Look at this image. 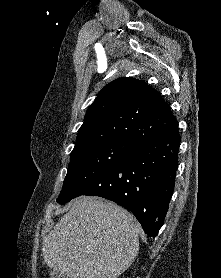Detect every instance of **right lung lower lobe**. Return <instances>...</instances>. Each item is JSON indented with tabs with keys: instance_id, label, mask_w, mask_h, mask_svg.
I'll use <instances>...</instances> for the list:
<instances>
[{
	"instance_id": "98d812e1",
	"label": "right lung lower lobe",
	"mask_w": 221,
	"mask_h": 278,
	"mask_svg": "<svg viewBox=\"0 0 221 278\" xmlns=\"http://www.w3.org/2000/svg\"><path fill=\"white\" fill-rule=\"evenodd\" d=\"M180 135L135 142L125 156L76 195L99 196L130 210L148 236L164 223L175 186Z\"/></svg>"
}]
</instances>
